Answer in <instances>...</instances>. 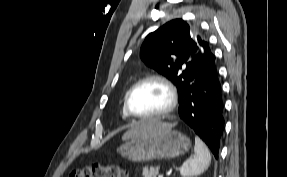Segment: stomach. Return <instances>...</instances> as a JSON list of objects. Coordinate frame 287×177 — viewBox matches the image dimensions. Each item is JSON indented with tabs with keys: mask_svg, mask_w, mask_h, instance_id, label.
Wrapping results in <instances>:
<instances>
[{
	"mask_svg": "<svg viewBox=\"0 0 287 177\" xmlns=\"http://www.w3.org/2000/svg\"><path fill=\"white\" fill-rule=\"evenodd\" d=\"M124 141L117 151L133 162L172 159L185 154L191 147L190 138L172 128L156 130Z\"/></svg>",
	"mask_w": 287,
	"mask_h": 177,
	"instance_id": "obj_1",
	"label": "stomach"
}]
</instances>
